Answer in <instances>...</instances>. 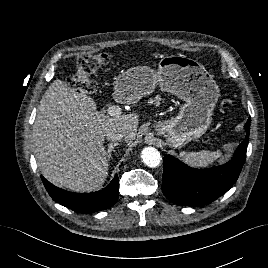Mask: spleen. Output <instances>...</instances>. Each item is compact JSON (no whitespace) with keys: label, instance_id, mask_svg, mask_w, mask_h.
Returning a JSON list of instances; mask_svg holds the SVG:
<instances>
[{"label":"spleen","instance_id":"obj_1","mask_svg":"<svg viewBox=\"0 0 268 268\" xmlns=\"http://www.w3.org/2000/svg\"><path fill=\"white\" fill-rule=\"evenodd\" d=\"M222 152L220 150L210 151H199V152H180V158L182 161L192 167H207L212 164L215 160L220 158Z\"/></svg>","mask_w":268,"mask_h":268}]
</instances>
